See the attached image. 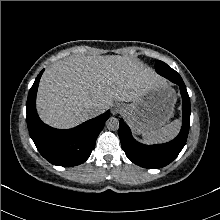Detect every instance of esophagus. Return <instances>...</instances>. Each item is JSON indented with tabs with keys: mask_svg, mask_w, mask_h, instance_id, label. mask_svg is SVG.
<instances>
[{
	"mask_svg": "<svg viewBox=\"0 0 220 220\" xmlns=\"http://www.w3.org/2000/svg\"><path fill=\"white\" fill-rule=\"evenodd\" d=\"M122 111V108L119 104H116L112 107L111 112L113 115H117Z\"/></svg>",
	"mask_w": 220,
	"mask_h": 220,
	"instance_id": "34e87169",
	"label": "esophagus"
}]
</instances>
